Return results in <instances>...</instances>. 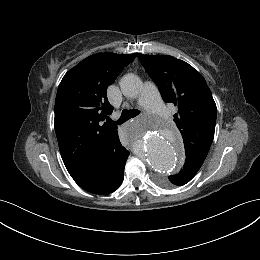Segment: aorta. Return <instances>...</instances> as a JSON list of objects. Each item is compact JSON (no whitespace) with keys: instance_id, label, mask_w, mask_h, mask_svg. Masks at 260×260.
Wrapping results in <instances>:
<instances>
[{"instance_id":"762f6f07","label":"aorta","mask_w":260,"mask_h":260,"mask_svg":"<svg viewBox=\"0 0 260 260\" xmlns=\"http://www.w3.org/2000/svg\"><path fill=\"white\" fill-rule=\"evenodd\" d=\"M120 88L124 96L134 97L142 89L141 80L127 74L120 80ZM147 126H137L130 135H143L142 156L147 165L159 173L168 174L176 171L182 163L181 143L175 129L163 122L149 120Z\"/></svg>"}]
</instances>
